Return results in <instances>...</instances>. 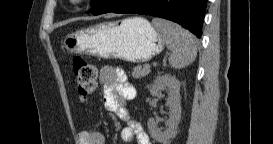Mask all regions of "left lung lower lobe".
<instances>
[{"label":"left lung lower lobe","mask_w":273,"mask_h":144,"mask_svg":"<svg viewBox=\"0 0 273 144\" xmlns=\"http://www.w3.org/2000/svg\"><path fill=\"white\" fill-rule=\"evenodd\" d=\"M206 5L207 0H109L93 15L114 12L161 17L182 25L200 38Z\"/></svg>","instance_id":"obj_1"}]
</instances>
